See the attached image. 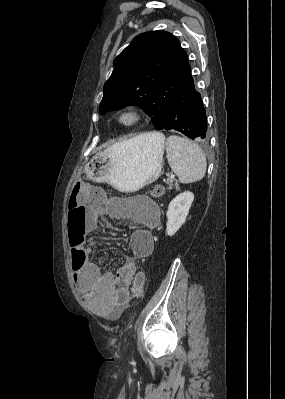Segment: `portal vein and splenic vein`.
I'll return each mask as SVG.
<instances>
[{
  "label": "portal vein and splenic vein",
  "mask_w": 285,
  "mask_h": 399,
  "mask_svg": "<svg viewBox=\"0 0 285 399\" xmlns=\"http://www.w3.org/2000/svg\"><path fill=\"white\" fill-rule=\"evenodd\" d=\"M175 176L173 174H171V178H174Z\"/></svg>",
  "instance_id": "portal-vein-and-splenic-vein-1"
}]
</instances>
